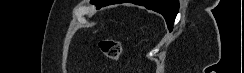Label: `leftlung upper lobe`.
Returning a JSON list of instances; mask_svg holds the SVG:
<instances>
[{
    "label": "left lung upper lobe",
    "mask_w": 244,
    "mask_h": 73,
    "mask_svg": "<svg viewBox=\"0 0 244 73\" xmlns=\"http://www.w3.org/2000/svg\"><path fill=\"white\" fill-rule=\"evenodd\" d=\"M92 3L96 4L97 8H101L105 5L101 4V0H91Z\"/></svg>",
    "instance_id": "left-lung-upper-lobe-1"
}]
</instances>
